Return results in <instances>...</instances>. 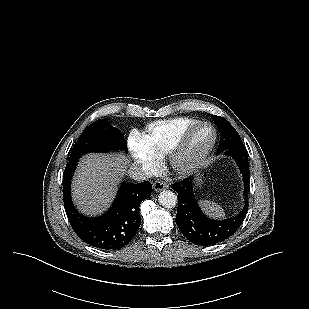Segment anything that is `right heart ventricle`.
<instances>
[{
    "instance_id": "1",
    "label": "right heart ventricle",
    "mask_w": 309,
    "mask_h": 309,
    "mask_svg": "<svg viewBox=\"0 0 309 309\" xmlns=\"http://www.w3.org/2000/svg\"><path fill=\"white\" fill-rule=\"evenodd\" d=\"M198 122L193 118H173L149 124L140 134L138 141L157 159H161L172 150L186 130Z\"/></svg>"
}]
</instances>
